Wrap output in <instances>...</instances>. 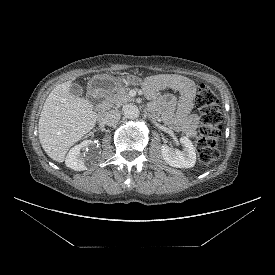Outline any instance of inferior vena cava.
<instances>
[{"label": "inferior vena cava", "instance_id": "1", "mask_svg": "<svg viewBox=\"0 0 275 275\" xmlns=\"http://www.w3.org/2000/svg\"><path fill=\"white\" fill-rule=\"evenodd\" d=\"M120 118H121L120 111L117 109H113V110L107 112V114L105 115L104 121L107 125L113 126L118 123Z\"/></svg>", "mask_w": 275, "mask_h": 275}]
</instances>
